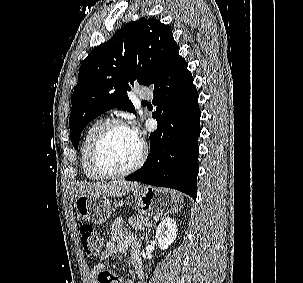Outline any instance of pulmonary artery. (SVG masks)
Returning a JSON list of instances; mask_svg holds the SVG:
<instances>
[{
    "label": "pulmonary artery",
    "mask_w": 303,
    "mask_h": 283,
    "mask_svg": "<svg viewBox=\"0 0 303 283\" xmlns=\"http://www.w3.org/2000/svg\"><path fill=\"white\" fill-rule=\"evenodd\" d=\"M137 95L143 99H150V98H152L153 93L150 89L142 87V88L138 89Z\"/></svg>",
    "instance_id": "1"
}]
</instances>
